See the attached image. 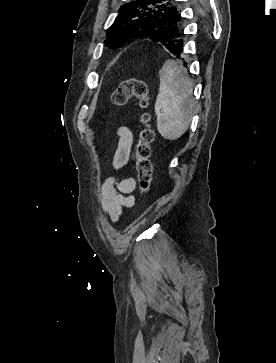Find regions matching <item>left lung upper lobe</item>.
Returning a JSON list of instances; mask_svg holds the SVG:
<instances>
[{
  "label": "left lung upper lobe",
  "mask_w": 276,
  "mask_h": 363,
  "mask_svg": "<svg viewBox=\"0 0 276 363\" xmlns=\"http://www.w3.org/2000/svg\"><path fill=\"white\" fill-rule=\"evenodd\" d=\"M182 18L170 0H135L121 6L119 15L107 31L106 45L119 48L127 38L148 36L165 47L181 39Z\"/></svg>",
  "instance_id": "1"
}]
</instances>
